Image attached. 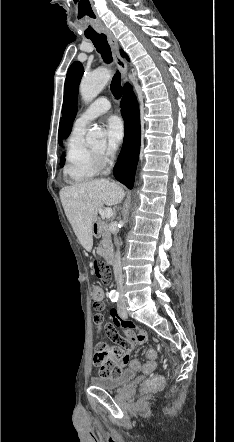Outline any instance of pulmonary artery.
<instances>
[{
  "label": "pulmonary artery",
  "instance_id": "pulmonary-artery-1",
  "mask_svg": "<svg viewBox=\"0 0 234 442\" xmlns=\"http://www.w3.org/2000/svg\"><path fill=\"white\" fill-rule=\"evenodd\" d=\"M110 108V101L106 97H99L79 115L74 126L76 128L85 129L91 121L107 112Z\"/></svg>",
  "mask_w": 234,
  "mask_h": 442
}]
</instances>
